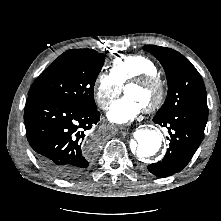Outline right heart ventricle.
I'll return each mask as SVG.
<instances>
[{
  "label": "right heart ventricle",
  "instance_id": "obj_1",
  "mask_svg": "<svg viewBox=\"0 0 221 221\" xmlns=\"http://www.w3.org/2000/svg\"><path fill=\"white\" fill-rule=\"evenodd\" d=\"M109 73L121 86H124L130 79L138 75L157 74V66L146 55L130 54L116 58L110 66Z\"/></svg>",
  "mask_w": 221,
  "mask_h": 221
}]
</instances>
